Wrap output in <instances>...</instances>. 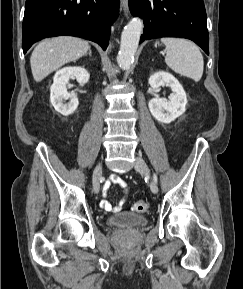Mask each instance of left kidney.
Returning a JSON list of instances; mask_svg holds the SVG:
<instances>
[{"mask_svg": "<svg viewBox=\"0 0 243 289\" xmlns=\"http://www.w3.org/2000/svg\"><path fill=\"white\" fill-rule=\"evenodd\" d=\"M149 84L154 91L164 85H168L173 91L169 101L158 97L149 101V110L157 121L168 124L186 111V93L173 75L163 71L156 72L150 76Z\"/></svg>", "mask_w": 243, "mask_h": 289, "instance_id": "1", "label": "left kidney"}]
</instances>
